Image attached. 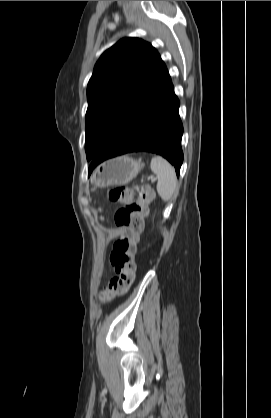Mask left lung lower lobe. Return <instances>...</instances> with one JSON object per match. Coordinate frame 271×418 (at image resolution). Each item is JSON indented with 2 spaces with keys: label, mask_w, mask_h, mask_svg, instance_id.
<instances>
[{
  "label": "left lung lower lobe",
  "mask_w": 271,
  "mask_h": 418,
  "mask_svg": "<svg viewBox=\"0 0 271 418\" xmlns=\"http://www.w3.org/2000/svg\"><path fill=\"white\" fill-rule=\"evenodd\" d=\"M179 105L165 67L92 159L88 173L109 158L146 151L166 158L179 175L183 162Z\"/></svg>",
  "instance_id": "1"
}]
</instances>
